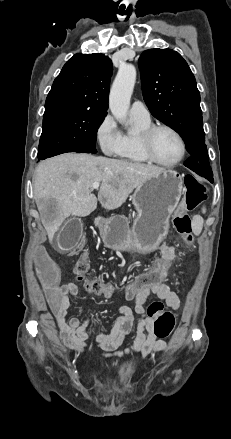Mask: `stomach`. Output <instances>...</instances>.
I'll return each mask as SVG.
<instances>
[{
  "label": "stomach",
  "mask_w": 231,
  "mask_h": 439,
  "mask_svg": "<svg viewBox=\"0 0 231 439\" xmlns=\"http://www.w3.org/2000/svg\"><path fill=\"white\" fill-rule=\"evenodd\" d=\"M183 189L182 177L165 170L139 185L130 196L137 211L132 226L122 216H112L99 224L106 247L116 251L149 254L165 239L169 219Z\"/></svg>",
  "instance_id": "1"
}]
</instances>
